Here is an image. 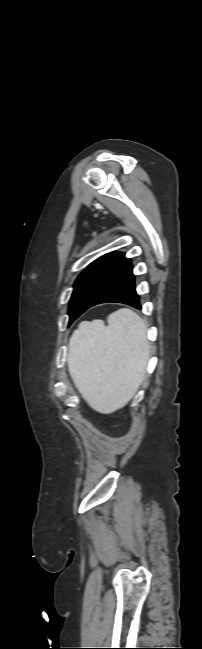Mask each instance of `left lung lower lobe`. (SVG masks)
<instances>
[{"mask_svg":"<svg viewBox=\"0 0 202 649\" xmlns=\"http://www.w3.org/2000/svg\"><path fill=\"white\" fill-rule=\"evenodd\" d=\"M132 268L131 261L127 259L99 294L87 304L86 310L107 302L124 303L140 310V296L135 289V276Z\"/></svg>","mask_w":202,"mask_h":649,"instance_id":"obj_1","label":"left lung lower lobe"}]
</instances>
